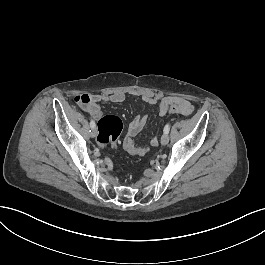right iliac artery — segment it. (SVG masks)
<instances>
[{"mask_svg":"<svg viewBox=\"0 0 265 265\" xmlns=\"http://www.w3.org/2000/svg\"><path fill=\"white\" fill-rule=\"evenodd\" d=\"M90 127L91 128H94L95 127V122L93 120H91V122H90Z\"/></svg>","mask_w":265,"mask_h":265,"instance_id":"obj_1","label":"right iliac artery"}]
</instances>
